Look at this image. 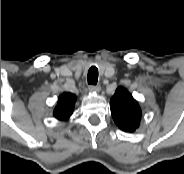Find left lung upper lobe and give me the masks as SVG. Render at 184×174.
<instances>
[{
	"label": "left lung upper lobe",
	"instance_id": "5c2ea615",
	"mask_svg": "<svg viewBox=\"0 0 184 174\" xmlns=\"http://www.w3.org/2000/svg\"><path fill=\"white\" fill-rule=\"evenodd\" d=\"M110 109L116 125L125 132H134L141 119V108L124 87H118L110 100Z\"/></svg>",
	"mask_w": 184,
	"mask_h": 174
}]
</instances>
